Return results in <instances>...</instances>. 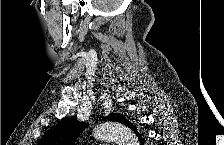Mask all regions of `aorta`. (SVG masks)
<instances>
[{"instance_id":"aorta-1","label":"aorta","mask_w":224,"mask_h":145,"mask_svg":"<svg viewBox=\"0 0 224 145\" xmlns=\"http://www.w3.org/2000/svg\"><path fill=\"white\" fill-rule=\"evenodd\" d=\"M93 136L102 141H110L118 145H138V138L128 127L117 122H105L97 125Z\"/></svg>"}]
</instances>
